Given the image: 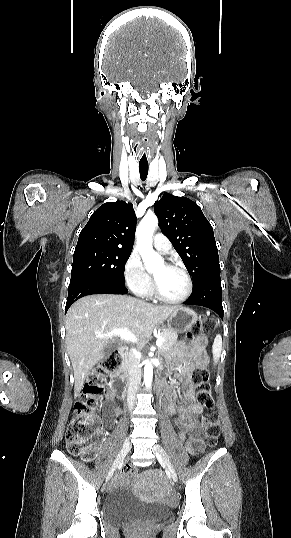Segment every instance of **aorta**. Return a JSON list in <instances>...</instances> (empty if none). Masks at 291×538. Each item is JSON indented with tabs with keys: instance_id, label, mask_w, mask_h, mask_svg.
<instances>
[{
	"instance_id": "aorta-1",
	"label": "aorta",
	"mask_w": 291,
	"mask_h": 538,
	"mask_svg": "<svg viewBox=\"0 0 291 538\" xmlns=\"http://www.w3.org/2000/svg\"><path fill=\"white\" fill-rule=\"evenodd\" d=\"M158 225L155 214H146L137 228V248L148 271L163 266V258L152 247V235ZM144 383L150 388L153 380V365L150 360L144 362Z\"/></svg>"
}]
</instances>
